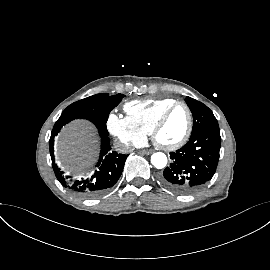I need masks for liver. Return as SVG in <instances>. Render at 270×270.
I'll list each match as a JSON object with an SVG mask.
<instances>
[{
	"label": "liver",
	"instance_id": "6515ba94",
	"mask_svg": "<svg viewBox=\"0 0 270 270\" xmlns=\"http://www.w3.org/2000/svg\"><path fill=\"white\" fill-rule=\"evenodd\" d=\"M98 138L94 126L84 120H75L63 128L56 139L59 160L67 168L83 170L94 160Z\"/></svg>",
	"mask_w": 270,
	"mask_h": 270
}]
</instances>
